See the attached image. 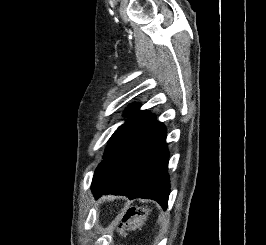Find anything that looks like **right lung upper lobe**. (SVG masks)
<instances>
[{
  "label": "right lung upper lobe",
  "instance_id": "1",
  "mask_svg": "<svg viewBox=\"0 0 266 245\" xmlns=\"http://www.w3.org/2000/svg\"><path fill=\"white\" fill-rule=\"evenodd\" d=\"M138 105L137 104H133L131 107H129L127 110H126V117L128 118L127 121H144V122H150V121H153L155 120V117L146 112V111H140V112H137L138 110Z\"/></svg>",
  "mask_w": 266,
  "mask_h": 245
}]
</instances>
